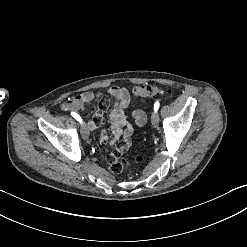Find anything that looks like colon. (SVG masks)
Returning <instances> with one entry per match:
<instances>
[{
    "instance_id": "colon-1",
    "label": "colon",
    "mask_w": 247,
    "mask_h": 247,
    "mask_svg": "<svg viewBox=\"0 0 247 247\" xmlns=\"http://www.w3.org/2000/svg\"><path fill=\"white\" fill-rule=\"evenodd\" d=\"M161 93H163V89L157 85L143 84V85H137L133 88V94L136 97H148ZM145 158L146 156L144 154H138L135 156L134 161L135 163H142L144 162ZM129 163L130 165L132 164V159L129 161Z\"/></svg>"
}]
</instances>
